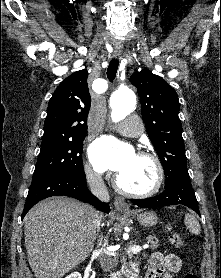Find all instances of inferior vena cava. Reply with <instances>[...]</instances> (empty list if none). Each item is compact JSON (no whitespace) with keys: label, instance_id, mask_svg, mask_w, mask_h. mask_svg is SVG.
I'll use <instances>...</instances> for the list:
<instances>
[{"label":"inferior vena cava","instance_id":"obj_1","mask_svg":"<svg viewBox=\"0 0 221 278\" xmlns=\"http://www.w3.org/2000/svg\"><path fill=\"white\" fill-rule=\"evenodd\" d=\"M86 177L91 192L102 201L109 200V194L101 175L93 171H88ZM95 222L98 227L100 223V217L98 215L96 216ZM101 243L102 240H100L99 245ZM100 263L106 273L111 272L116 266V257L112 252L104 249L100 255Z\"/></svg>","mask_w":221,"mask_h":278}]
</instances>
